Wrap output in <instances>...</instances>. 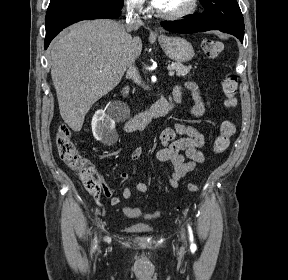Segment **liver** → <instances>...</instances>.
Instances as JSON below:
<instances>
[{"mask_svg": "<svg viewBox=\"0 0 288 280\" xmlns=\"http://www.w3.org/2000/svg\"><path fill=\"white\" fill-rule=\"evenodd\" d=\"M141 51V39L109 19L76 23L54 41L51 77L61 117L73 131L81 130L91 106L119 84Z\"/></svg>", "mask_w": 288, "mask_h": 280, "instance_id": "liver-1", "label": "liver"}]
</instances>
